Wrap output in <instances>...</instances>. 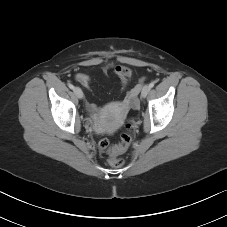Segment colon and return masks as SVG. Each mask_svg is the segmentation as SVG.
<instances>
[{
  "label": "colon",
  "instance_id": "obj_1",
  "mask_svg": "<svg viewBox=\"0 0 227 227\" xmlns=\"http://www.w3.org/2000/svg\"><path fill=\"white\" fill-rule=\"evenodd\" d=\"M136 92L137 89H135L134 93ZM132 139L133 127L128 124L125 126V130L121 134L120 142L118 144L111 146L107 139L102 138L99 140V147L109 153L108 163L110 166L118 168L124 164V160L119 157V154L123 153L128 148Z\"/></svg>",
  "mask_w": 227,
  "mask_h": 227
}]
</instances>
